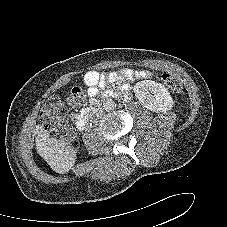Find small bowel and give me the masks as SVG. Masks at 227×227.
<instances>
[{
  "mask_svg": "<svg viewBox=\"0 0 227 227\" xmlns=\"http://www.w3.org/2000/svg\"><path fill=\"white\" fill-rule=\"evenodd\" d=\"M151 75V72L147 70H132L128 68L109 73L90 70L84 74V82L87 86L88 97L93 98L97 95L100 88L105 87L109 83L118 82L120 83V89L127 91L129 89L128 81L149 78Z\"/></svg>",
  "mask_w": 227,
  "mask_h": 227,
  "instance_id": "obj_1",
  "label": "small bowel"
}]
</instances>
